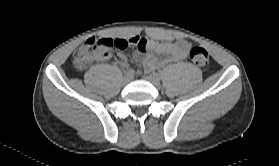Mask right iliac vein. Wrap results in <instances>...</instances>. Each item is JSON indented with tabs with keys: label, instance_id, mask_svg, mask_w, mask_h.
I'll return each mask as SVG.
<instances>
[{
	"label": "right iliac vein",
	"instance_id": "63e3f726",
	"mask_svg": "<svg viewBox=\"0 0 279 166\" xmlns=\"http://www.w3.org/2000/svg\"><path fill=\"white\" fill-rule=\"evenodd\" d=\"M131 78H132L131 76L125 75L122 79V84L123 85L128 84L131 81Z\"/></svg>",
	"mask_w": 279,
	"mask_h": 166
}]
</instances>
